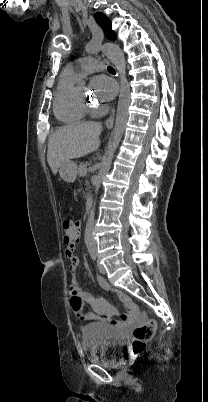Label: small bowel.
Here are the masks:
<instances>
[{"mask_svg": "<svg viewBox=\"0 0 208 402\" xmlns=\"http://www.w3.org/2000/svg\"><path fill=\"white\" fill-rule=\"evenodd\" d=\"M74 225V230L76 231L75 236L72 237V242L65 251L66 255L70 259V272L72 274V278L67 290V295L69 299H71V297L73 296L80 297L82 299V302L86 303V305L90 308V311L84 310V314L81 318H84V321L86 323H89L91 319L99 317L101 319L109 321L113 325H116L117 329L119 330H129L131 329L132 324L142 323L143 318L141 316V311L139 309H134V305L129 299V295L127 292H120L118 295L120 301L123 302L129 300L130 303L123 302L126 307V312L125 314H122L120 316V319H116L115 316L118 315V312L106 299L83 293L79 289L76 277L78 260L74 254V251L75 246L77 245L76 243H79L81 241L82 232L80 230L83 224L81 221L78 220L75 222ZM97 283L103 290H111V286L104 278L98 277Z\"/></svg>", "mask_w": 208, "mask_h": 402, "instance_id": "c3829d8e", "label": "small bowel"}]
</instances>
